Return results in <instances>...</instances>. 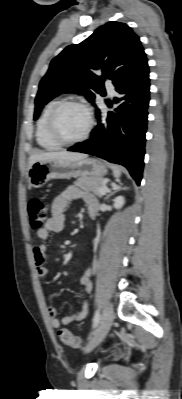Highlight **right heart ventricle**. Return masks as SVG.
Segmentation results:
<instances>
[{"mask_svg": "<svg viewBox=\"0 0 182 399\" xmlns=\"http://www.w3.org/2000/svg\"><path fill=\"white\" fill-rule=\"evenodd\" d=\"M58 100H52L48 102L39 119L36 126V141L38 145L46 150L58 149L61 145L56 142L48 132V117L52 108L58 103Z\"/></svg>", "mask_w": 182, "mask_h": 399, "instance_id": "right-heart-ventricle-1", "label": "right heart ventricle"}]
</instances>
